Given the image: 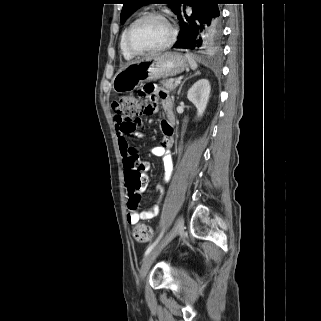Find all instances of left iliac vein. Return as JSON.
I'll return each instance as SVG.
<instances>
[{
    "instance_id": "left-iliac-vein-1",
    "label": "left iliac vein",
    "mask_w": 321,
    "mask_h": 321,
    "mask_svg": "<svg viewBox=\"0 0 321 321\" xmlns=\"http://www.w3.org/2000/svg\"><path fill=\"white\" fill-rule=\"evenodd\" d=\"M184 225L183 216H179L171 229V231L161 240V242L145 257L141 270H140V280L143 281L146 277L154 259L158 253L176 236L178 235Z\"/></svg>"
}]
</instances>
